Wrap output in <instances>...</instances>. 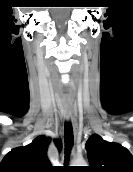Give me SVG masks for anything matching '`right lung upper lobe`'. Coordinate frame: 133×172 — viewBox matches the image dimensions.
Wrapping results in <instances>:
<instances>
[{
    "instance_id": "1",
    "label": "right lung upper lobe",
    "mask_w": 133,
    "mask_h": 172,
    "mask_svg": "<svg viewBox=\"0 0 133 172\" xmlns=\"http://www.w3.org/2000/svg\"><path fill=\"white\" fill-rule=\"evenodd\" d=\"M50 139L39 136L31 144L12 149L0 163V172H53L54 169L47 157ZM57 148L61 142L54 139Z\"/></svg>"
}]
</instances>
